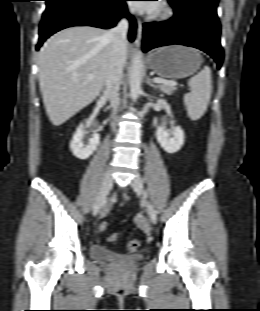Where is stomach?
<instances>
[{
	"mask_svg": "<svg viewBox=\"0 0 260 311\" xmlns=\"http://www.w3.org/2000/svg\"><path fill=\"white\" fill-rule=\"evenodd\" d=\"M149 68L167 79L185 78L194 74L202 64V57L197 50L171 45L152 52L148 58Z\"/></svg>",
	"mask_w": 260,
	"mask_h": 311,
	"instance_id": "0dacf381",
	"label": "stomach"
}]
</instances>
